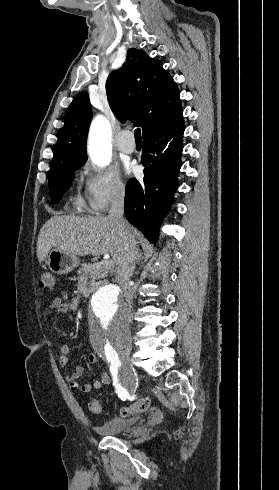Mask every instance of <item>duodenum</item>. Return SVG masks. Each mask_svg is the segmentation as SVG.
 Wrapping results in <instances>:
<instances>
[{
  "label": "duodenum",
  "instance_id": "1",
  "mask_svg": "<svg viewBox=\"0 0 279 490\" xmlns=\"http://www.w3.org/2000/svg\"><path fill=\"white\" fill-rule=\"evenodd\" d=\"M100 285V282H95L93 284H91L86 290H85V293H84V296L85 297H90L92 295V293L99 287Z\"/></svg>",
  "mask_w": 279,
  "mask_h": 490
}]
</instances>
